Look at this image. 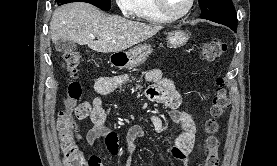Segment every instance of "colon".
Masks as SVG:
<instances>
[{
    "label": "colon",
    "instance_id": "5ec220e1",
    "mask_svg": "<svg viewBox=\"0 0 277 166\" xmlns=\"http://www.w3.org/2000/svg\"><path fill=\"white\" fill-rule=\"evenodd\" d=\"M227 50L224 42L211 39L205 42L201 47V56L205 61H214L221 57ZM64 62L71 80L66 86L64 109L59 113L57 119V131L59 134V143L63 155L64 166H92L89 159H85L83 153L76 143L77 127L73 118V112L77 109L76 104L82 95V87L77 80L79 68V55L75 51L65 54ZM229 106L228 93L225 88L224 80H217V88L213 95L209 117L205 122V131L207 134L205 140L206 156L204 166L219 165V145L217 136L219 129V120L225 114Z\"/></svg>",
    "mask_w": 277,
    "mask_h": 166
}]
</instances>
